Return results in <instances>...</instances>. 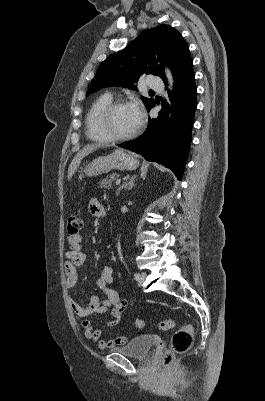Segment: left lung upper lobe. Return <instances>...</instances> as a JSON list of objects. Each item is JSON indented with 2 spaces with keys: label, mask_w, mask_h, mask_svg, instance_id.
Segmentation results:
<instances>
[{
  "label": "left lung upper lobe",
  "mask_w": 265,
  "mask_h": 401,
  "mask_svg": "<svg viewBox=\"0 0 265 401\" xmlns=\"http://www.w3.org/2000/svg\"><path fill=\"white\" fill-rule=\"evenodd\" d=\"M188 57L190 53L187 43L171 26L159 25L144 30L125 49L101 63L89 86L87 96L108 86L136 90L133 84L144 73L159 76L166 81L162 66L167 65L174 75ZM159 62L160 65L157 64ZM141 99L147 109L154 104L152 98Z\"/></svg>",
  "instance_id": "1"
}]
</instances>
